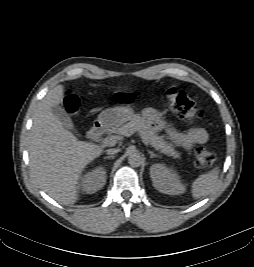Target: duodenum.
Returning a JSON list of instances; mask_svg holds the SVG:
<instances>
[{
  "mask_svg": "<svg viewBox=\"0 0 254 267\" xmlns=\"http://www.w3.org/2000/svg\"><path fill=\"white\" fill-rule=\"evenodd\" d=\"M104 130V124L101 122H96L88 131L87 136L90 140H96L104 133Z\"/></svg>",
  "mask_w": 254,
  "mask_h": 267,
  "instance_id": "1",
  "label": "duodenum"
}]
</instances>
